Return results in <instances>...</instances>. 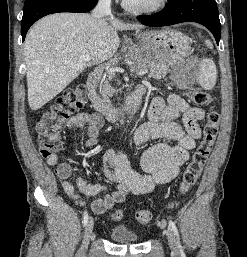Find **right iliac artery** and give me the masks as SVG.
Wrapping results in <instances>:
<instances>
[{
	"label": "right iliac artery",
	"instance_id": "82829eb1",
	"mask_svg": "<svg viewBox=\"0 0 247 257\" xmlns=\"http://www.w3.org/2000/svg\"><path fill=\"white\" fill-rule=\"evenodd\" d=\"M88 222V213L87 211L84 212V215H83V224L84 226L87 224Z\"/></svg>",
	"mask_w": 247,
	"mask_h": 257
}]
</instances>
